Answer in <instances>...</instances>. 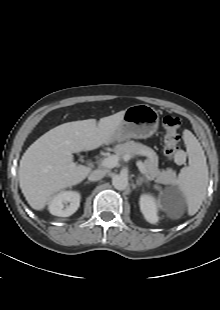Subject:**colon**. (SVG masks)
<instances>
[{"mask_svg":"<svg viewBox=\"0 0 220 310\" xmlns=\"http://www.w3.org/2000/svg\"><path fill=\"white\" fill-rule=\"evenodd\" d=\"M162 125L165 131L164 153L175 162L183 163L186 159V155L179 145L181 120L177 116L167 115L163 118Z\"/></svg>","mask_w":220,"mask_h":310,"instance_id":"colon-1","label":"colon"}]
</instances>
